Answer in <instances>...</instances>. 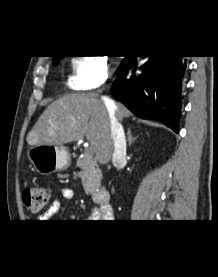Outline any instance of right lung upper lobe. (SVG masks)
Returning a JSON list of instances; mask_svg holds the SVG:
<instances>
[{
  "label": "right lung upper lobe",
  "mask_w": 218,
  "mask_h": 277,
  "mask_svg": "<svg viewBox=\"0 0 218 277\" xmlns=\"http://www.w3.org/2000/svg\"><path fill=\"white\" fill-rule=\"evenodd\" d=\"M59 57H61V56H54V57H53V60H54V59H57V58H59Z\"/></svg>",
  "instance_id": "1"
}]
</instances>
